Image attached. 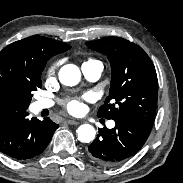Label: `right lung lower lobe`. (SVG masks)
Returning <instances> with one entry per match:
<instances>
[{
  "instance_id": "right-lung-lower-lobe-1",
  "label": "right lung lower lobe",
  "mask_w": 183,
  "mask_h": 183,
  "mask_svg": "<svg viewBox=\"0 0 183 183\" xmlns=\"http://www.w3.org/2000/svg\"><path fill=\"white\" fill-rule=\"evenodd\" d=\"M28 112H16L0 123V151L17 160L30 159L48 146L59 127L48 117L28 119Z\"/></svg>"
}]
</instances>
